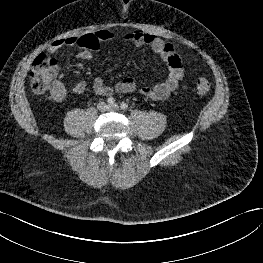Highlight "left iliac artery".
<instances>
[{
	"mask_svg": "<svg viewBox=\"0 0 263 263\" xmlns=\"http://www.w3.org/2000/svg\"><path fill=\"white\" fill-rule=\"evenodd\" d=\"M128 108V105H127V103H121V109L122 110H126Z\"/></svg>",
	"mask_w": 263,
	"mask_h": 263,
	"instance_id": "left-iliac-artery-1",
	"label": "left iliac artery"
}]
</instances>
